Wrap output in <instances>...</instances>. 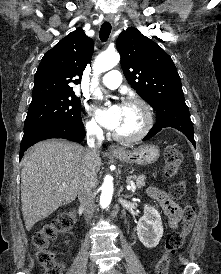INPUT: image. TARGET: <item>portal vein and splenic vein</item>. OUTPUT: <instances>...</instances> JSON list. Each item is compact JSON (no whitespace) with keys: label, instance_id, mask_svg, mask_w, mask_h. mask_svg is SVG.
Instances as JSON below:
<instances>
[{"label":"portal vein and splenic vein","instance_id":"1","mask_svg":"<svg viewBox=\"0 0 221 274\" xmlns=\"http://www.w3.org/2000/svg\"><path fill=\"white\" fill-rule=\"evenodd\" d=\"M129 189H131L132 192H135V190H136V186L132 181L130 182Z\"/></svg>","mask_w":221,"mask_h":274}]
</instances>
